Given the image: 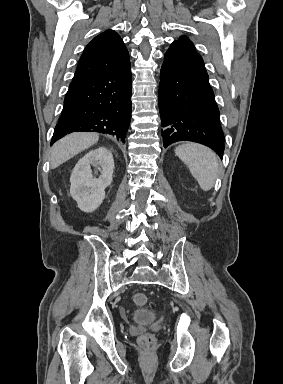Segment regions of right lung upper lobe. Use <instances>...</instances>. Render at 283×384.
I'll return each mask as SVG.
<instances>
[{"label": "right lung upper lobe", "mask_w": 283, "mask_h": 384, "mask_svg": "<svg viewBox=\"0 0 283 384\" xmlns=\"http://www.w3.org/2000/svg\"><path fill=\"white\" fill-rule=\"evenodd\" d=\"M129 63V54L122 39L115 31L107 30L86 46L72 81L116 71Z\"/></svg>", "instance_id": "1"}]
</instances>
